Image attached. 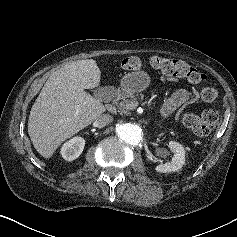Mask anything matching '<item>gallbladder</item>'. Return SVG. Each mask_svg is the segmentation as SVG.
Wrapping results in <instances>:
<instances>
[{
	"label": "gallbladder",
	"mask_w": 237,
	"mask_h": 237,
	"mask_svg": "<svg viewBox=\"0 0 237 237\" xmlns=\"http://www.w3.org/2000/svg\"><path fill=\"white\" fill-rule=\"evenodd\" d=\"M109 91V87L99 88L97 92V96L102 101H107L112 98L114 95L107 96L106 93Z\"/></svg>",
	"instance_id": "bac80fb5"
}]
</instances>
